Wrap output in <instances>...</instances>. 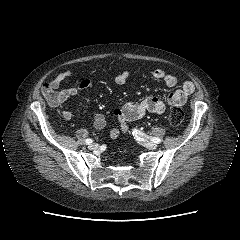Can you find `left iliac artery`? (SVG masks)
Segmentation results:
<instances>
[{
	"label": "left iliac artery",
	"mask_w": 240,
	"mask_h": 240,
	"mask_svg": "<svg viewBox=\"0 0 240 240\" xmlns=\"http://www.w3.org/2000/svg\"><path fill=\"white\" fill-rule=\"evenodd\" d=\"M132 133H133V135L140 134V135H142V136H146L144 133H142V132H140V131H138V130H136V129H134V131H133ZM151 140H152L153 142H155V143H160V142H161V139H159V138H157V137H152Z\"/></svg>",
	"instance_id": "left-iliac-artery-1"
}]
</instances>
